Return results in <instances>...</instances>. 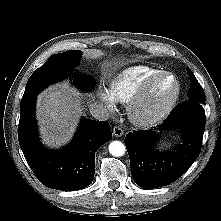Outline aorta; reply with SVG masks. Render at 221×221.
I'll return each mask as SVG.
<instances>
[{"label": "aorta", "instance_id": "762f6f07", "mask_svg": "<svg viewBox=\"0 0 221 221\" xmlns=\"http://www.w3.org/2000/svg\"><path fill=\"white\" fill-rule=\"evenodd\" d=\"M109 152L114 157H120L125 153V145L120 141H112L109 144Z\"/></svg>", "mask_w": 221, "mask_h": 221}]
</instances>
